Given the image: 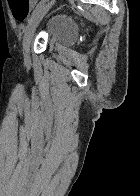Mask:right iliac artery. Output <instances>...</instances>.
Segmentation results:
<instances>
[{"label":"right iliac artery","instance_id":"1","mask_svg":"<svg viewBox=\"0 0 140 196\" xmlns=\"http://www.w3.org/2000/svg\"><path fill=\"white\" fill-rule=\"evenodd\" d=\"M42 3L40 2L37 7L35 8V10L33 11L32 15H34L41 7ZM29 21V20H28ZM26 30V27L23 28V32Z\"/></svg>","mask_w":140,"mask_h":196}]
</instances>
